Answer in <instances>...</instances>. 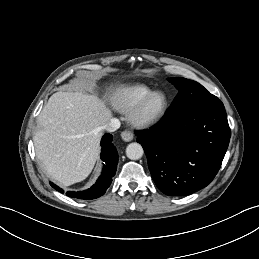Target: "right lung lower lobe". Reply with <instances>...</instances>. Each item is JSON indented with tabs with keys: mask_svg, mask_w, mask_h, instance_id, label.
Wrapping results in <instances>:
<instances>
[{
	"mask_svg": "<svg viewBox=\"0 0 259 259\" xmlns=\"http://www.w3.org/2000/svg\"><path fill=\"white\" fill-rule=\"evenodd\" d=\"M113 136L106 133L101 140V159L105 162L103 166L102 175L90 189L82 192H67L66 195L69 197L79 198V199H95L102 196L106 189L110 186L112 182V177L116 173L118 164V154L116 148L111 143ZM59 192L63 193V190L50 183Z\"/></svg>",
	"mask_w": 259,
	"mask_h": 259,
	"instance_id": "right-lung-lower-lobe-1",
	"label": "right lung lower lobe"
}]
</instances>
